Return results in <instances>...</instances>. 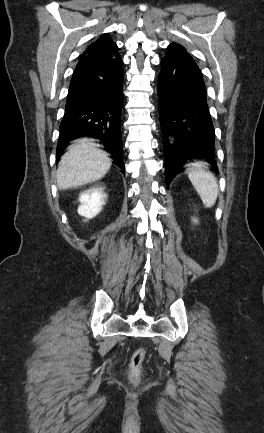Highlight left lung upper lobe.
Segmentation results:
<instances>
[{
    "instance_id": "1",
    "label": "left lung upper lobe",
    "mask_w": 264,
    "mask_h": 433,
    "mask_svg": "<svg viewBox=\"0 0 264 433\" xmlns=\"http://www.w3.org/2000/svg\"><path fill=\"white\" fill-rule=\"evenodd\" d=\"M169 50H185L181 45L177 44V43H171L168 47H167V51Z\"/></svg>"
}]
</instances>
